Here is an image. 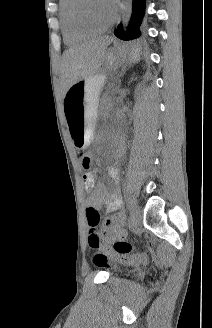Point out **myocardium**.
<instances>
[{
    "label": "myocardium",
    "instance_id": "f54148a6",
    "mask_svg": "<svg viewBox=\"0 0 212 328\" xmlns=\"http://www.w3.org/2000/svg\"><path fill=\"white\" fill-rule=\"evenodd\" d=\"M89 0H75V4L72 9V15L74 21L82 28L94 31L101 32L109 29L117 19V10L114 8L113 16L110 21L104 25H99L93 22L86 13V5Z\"/></svg>",
    "mask_w": 212,
    "mask_h": 328
}]
</instances>
